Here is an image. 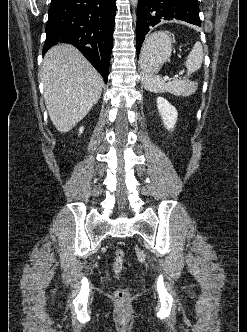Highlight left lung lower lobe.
<instances>
[{"mask_svg": "<svg viewBox=\"0 0 247 332\" xmlns=\"http://www.w3.org/2000/svg\"><path fill=\"white\" fill-rule=\"evenodd\" d=\"M178 19L200 26L197 0H139L137 9V55L145 35L164 20Z\"/></svg>", "mask_w": 247, "mask_h": 332, "instance_id": "1", "label": "left lung lower lobe"}]
</instances>
